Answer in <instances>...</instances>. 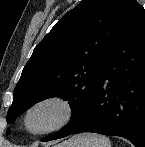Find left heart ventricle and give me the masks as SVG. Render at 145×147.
Here are the masks:
<instances>
[{
	"label": "left heart ventricle",
	"mask_w": 145,
	"mask_h": 147,
	"mask_svg": "<svg viewBox=\"0 0 145 147\" xmlns=\"http://www.w3.org/2000/svg\"><path fill=\"white\" fill-rule=\"evenodd\" d=\"M61 112L55 106L42 108L31 117L30 123L33 128H41L54 124L60 118Z\"/></svg>",
	"instance_id": "1"
}]
</instances>
